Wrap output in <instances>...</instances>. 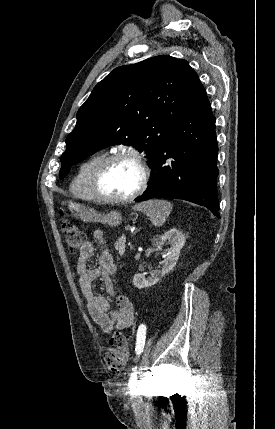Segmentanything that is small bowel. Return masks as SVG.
I'll use <instances>...</instances> for the list:
<instances>
[{
  "instance_id": "obj_1",
  "label": "small bowel",
  "mask_w": 275,
  "mask_h": 429,
  "mask_svg": "<svg viewBox=\"0 0 275 429\" xmlns=\"http://www.w3.org/2000/svg\"><path fill=\"white\" fill-rule=\"evenodd\" d=\"M104 244V233L96 230L90 242L83 244L77 261L79 285L84 296L88 312L92 319L105 333L113 329H127L135 322V309L132 301L125 295H116L112 276L116 271L113 257L107 249H103L98 257L96 268H89L88 260L94 255L95 247ZM101 278L107 293L115 299L117 309L111 310L112 301L109 297L96 294L93 282Z\"/></svg>"
}]
</instances>
